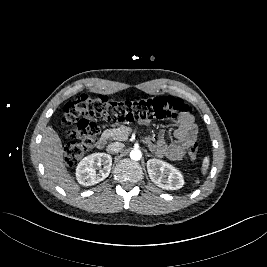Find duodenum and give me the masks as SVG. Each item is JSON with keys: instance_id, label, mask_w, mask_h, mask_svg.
<instances>
[{"instance_id": "duodenum-1", "label": "duodenum", "mask_w": 267, "mask_h": 267, "mask_svg": "<svg viewBox=\"0 0 267 267\" xmlns=\"http://www.w3.org/2000/svg\"><path fill=\"white\" fill-rule=\"evenodd\" d=\"M107 144V138L105 136H102L98 139L96 145L98 149H103Z\"/></svg>"}]
</instances>
